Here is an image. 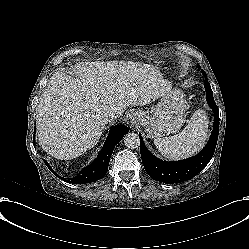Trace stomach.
I'll list each match as a JSON object with an SVG mask.
<instances>
[{"label":"stomach","instance_id":"stomach-1","mask_svg":"<svg viewBox=\"0 0 249 249\" xmlns=\"http://www.w3.org/2000/svg\"><path fill=\"white\" fill-rule=\"evenodd\" d=\"M186 109L182 92L175 90L162 96L151 110L135 113L147 136L155 139L178 132L186 121Z\"/></svg>","mask_w":249,"mask_h":249}]
</instances>
